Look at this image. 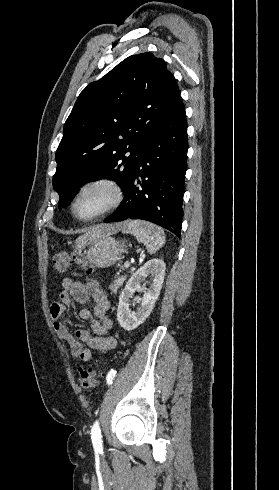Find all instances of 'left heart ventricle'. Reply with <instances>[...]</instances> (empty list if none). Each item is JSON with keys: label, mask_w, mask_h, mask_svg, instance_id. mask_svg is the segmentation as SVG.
I'll list each match as a JSON object with an SVG mask.
<instances>
[{"label": "left heart ventricle", "mask_w": 279, "mask_h": 490, "mask_svg": "<svg viewBox=\"0 0 279 490\" xmlns=\"http://www.w3.org/2000/svg\"><path fill=\"white\" fill-rule=\"evenodd\" d=\"M108 198V192L102 188L91 187L85 191L77 204V211L87 215L100 207Z\"/></svg>", "instance_id": "1"}]
</instances>
